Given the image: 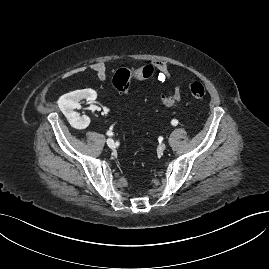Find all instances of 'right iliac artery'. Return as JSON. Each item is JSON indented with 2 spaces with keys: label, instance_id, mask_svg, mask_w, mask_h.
Here are the masks:
<instances>
[{
  "label": "right iliac artery",
  "instance_id": "obj_1",
  "mask_svg": "<svg viewBox=\"0 0 269 269\" xmlns=\"http://www.w3.org/2000/svg\"><path fill=\"white\" fill-rule=\"evenodd\" d=\"M107 135H108V136H112V135H113V132H112V131H108V132H107Z\"/></svg>",
  "mask_w": 269,
  "mask_h": 269
}]
</instances>
